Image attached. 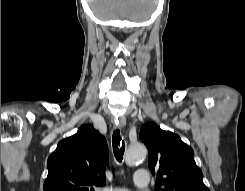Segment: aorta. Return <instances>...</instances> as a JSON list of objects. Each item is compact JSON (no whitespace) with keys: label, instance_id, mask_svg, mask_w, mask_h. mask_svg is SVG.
<instances>
[{"label":"aorta","instance_id":"1","mask_svg":"<svg viewBox=\"0 0 245 191\" xmlns=\"http://www.w3.org/2000/svg\"><path fill=\"white\" fill-rule=\"evenodd\" d=\"M146 155V147L141 143H135L129 146L125 155V162L129 166H133L136 163L143 160L146 157Z\"/></svg>","mask_w":245,"mask_h":191}]
</instances>
